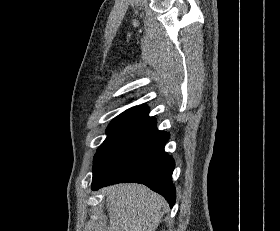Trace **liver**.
Wrapping results in <instances>:
<instances>
[{
	"mask_svg": "<svg viewBox=\"0 0 280 231\" xmlns=\"http://www.w3.org/2000/svg\"><path fill=\"white\" fill-rule=\"evenodd\" d=\"M106 207L110 227L96 231H155L158 227L166 201L164 197L140 183H118L107 187Z\"/></svg>",
	"mask_w": 280,
	"mask_h": 231,
	"instance_id": "liver-1",
	"label": "liver"
}]
</instances>
